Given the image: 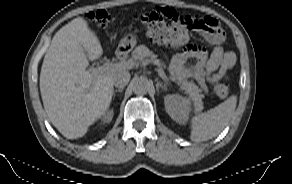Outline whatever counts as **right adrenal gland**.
Returning a JSON list of instances; mask_svg holds the SVG:
<instances>
[{"mask_svg":"<svg viewBox=\"0 0 292 184\" xmlns=\"http://www.w3.org/2000/svg\"><path fill=\"white\" fill-rule=\"evenodd\" d=\"M122 91H123V88L116 89L115 91H113V96L115 97L117 92L122 93Z\"/></svg>","mask_w":292,"mask_h":184,"instance_id":"2a0ac1e0","label":"right adrenal gland"}]
</instances>
